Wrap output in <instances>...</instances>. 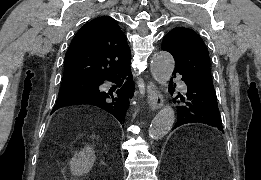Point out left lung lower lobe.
I'll use <instances>...</instances> for the list:
<instances>
[{
  "label": "left lung lower lobe",
  "instance_id": "obj_1",
  "mask_svg": "<svg viewBox=\"0 0 261 180\" xmlns=\"http://www.w3.org/2000/svg\"><path fill=\"white\" fill-rule=\"evenodd\" d=\"M182 76L184 92L176 96L177 122L174 128L188 123H203L223 131L214 87L209 86L199 76L179 66L173 72ZM176 86V85H174Z\"/></svg>",
  "mask_w": 261,
  "mask_h": 180
}]
</instances>
